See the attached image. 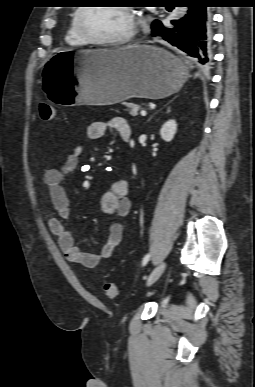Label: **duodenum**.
<instances>
[{"instance_id":"duodenum-1","label":"duodenum","mask_w":255,"mask_h":387,"mask_svg":"<svg viewBox=\"0 0 255 387\" xmlns=\"http://www.w3.org/2000/svg\"><path fill=\"white\" fill-rule=\"evenodd\" d=\"M122 139H123L124 141H129L130 135H129V134H123V135H122Z\"/></svg>"}]
</instances>
